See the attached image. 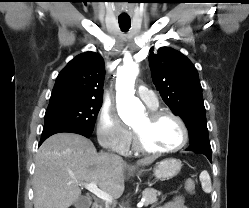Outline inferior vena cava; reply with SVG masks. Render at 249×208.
I'll return each mask as SVG.
<instances>
[{
    "instance_id": "1",
    "label": "inferior vena cava",
    "mask_w": 249,
    "mask_h": 208,
    "mask_svg": "<svg viewBox=\"0 0 249 208\" xmlns=\"http://www.w3.org/2000/svg\"><path fill=\"white\" fill-rule=\"evenodd\" d=\"M110 157L112 158H115V159H121V157L117 156V155H114V154H108Z\"/></svg>"
}]
</instances>
